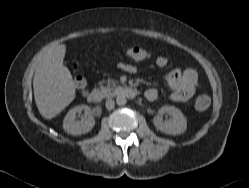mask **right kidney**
<instances>
[{
    "label": "right kidney",
    "instance_id": "obj_1",
    "mask_svg": "<svg viewBox=\"0 0 249 188\" xmlns=\"http://www.w3.org/2000/svg\"><path fill=\"white\" fill-rule=\"evenodd\" d=\"M82 111L85 112L84 121H76V114H80ZM95 125V119L91 116V110L86 105H79L67 113L63 120V129L65 132L71 135H82L90 130Z\"/></svg>",
    "mask_w": 249,
    "mask_h": 188
}]
</instances>
